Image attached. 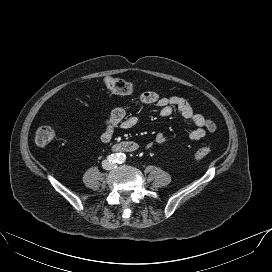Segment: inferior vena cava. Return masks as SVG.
Segmentation results:
<instances>
[{
    "mask_svg": "<svg viewBox=\"0 0 272 272\" xmlns=\"http://www.w3.org/2000/svg\"><path fill=\"white\" fill-rule=\"evenodd\" d=\"M102 166H103V168L106 169V170H112V169L114 168V164L111 163V162H109L108 160H104V161L102 162Z\"/></svg>",
    "mask_w": 272,
    "mask_h": 272,
    "instance_id": "1",
    "label": "inferior vena cava"
}]
</instances>
